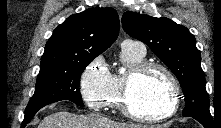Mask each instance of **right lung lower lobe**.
I'll list each match as a JSON object with an SVG mask.
<instances>
[{
  "instance_id": "1",
  "label": "right lung lower lobe",
  "mask_w": 221,
  "mask_h": 128,
  "mask_svg": "<svg viewBox=\"0 0 221 128\" xmlns=\"http://www.w3.org/2000/svg\"><path fill=\"white\" fill-rule=\"evenodd\" d=\"M42 107H39L37 109L31 110L27 113H25V117L22 123V128H24L26 126V124L34 117L35 113Z\"/></svg>"
}]
</instances>
